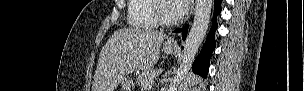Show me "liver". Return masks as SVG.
Instances as JSON below:
<instances>
[{
	"label": "liver",
	"mask_w": 304,
	"mask_h": 91,
	"mask_svg": "<svg viewBox=\"0 0 304 91\" xmlns=\"http://www.w3.org/2000/svg\"><path fill=\"white\" fill-rule=\"evenodd\" d=\"M165 38L161 32L144 29L114 32L100 52L92 91H114L128 74L153 67Z\"/></svg>",
	"instance_id": "6515ba94"
}]
</instances>
